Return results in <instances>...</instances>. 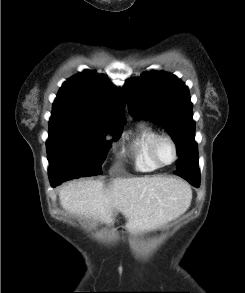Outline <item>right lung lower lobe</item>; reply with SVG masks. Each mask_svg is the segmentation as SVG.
I'll use <instances>...</instances> for the list:
<instances>
[{"instance_id":"1","label":"right lung lower lobe","mask_w":245,"mask_h":293,"mask_svg":"<svg viewBox=\"0 0 245 293\" xmlns=\"http://www.w3.org/2000/svg\"><path fill=\"white\" fill-rule=\"evenodd\" d=\"M58 184H60V183L51 182V186H52V187H55V186L58 185Z\"/></svg>"}]
</instances>
